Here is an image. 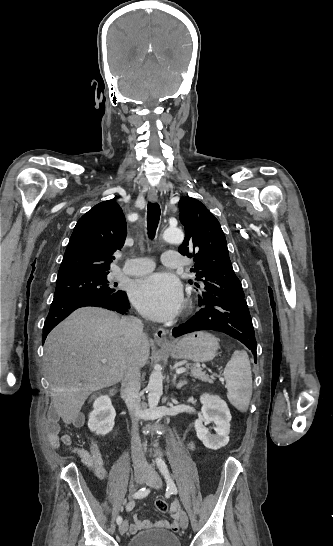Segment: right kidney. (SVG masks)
Masks as SVG:
<instances>
[{
    "instance_id": "ca27d5eb",
    "label": "right kidney",
    "mask_w": 333,
    "mask_h": 546,
    "mask_svg": "<svg viewBox=\"0 0 333 546\" xmlns=\"http://www.w3.org/2000/svg\"><path fill=\"white\" fill-rule=\"evenodd\" d=\"M116 412L109 396H100L93 403V411L89 414L88 427L97 435H106L114 427Z\"/></svg>"
}]
</instances>
